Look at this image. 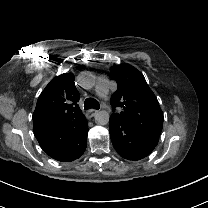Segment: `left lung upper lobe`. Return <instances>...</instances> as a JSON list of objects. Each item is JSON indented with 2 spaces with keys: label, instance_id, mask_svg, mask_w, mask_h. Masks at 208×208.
I'll list each match as a JSON object with an SVG mask.
<instances>
[{
  "label": "left lung upper lobe",
  "instance_id": "obj_1",
  "mask_svg": "<svg viewBox=\"0 0 208 208\" xmlns=\"http://www.w3.org/2000/svg\"><path fill=\"white\" fill-rule=\"evenodd\" d=\"M110 71L118 84L110 102L113 110L116 107L122 109L121 113L113 114L157 145L163 127V113L143 74L127 63L112 66Z\"/></svg>",
  "mask_w": 208,
  "mask_h": 208
}]
</instances>
